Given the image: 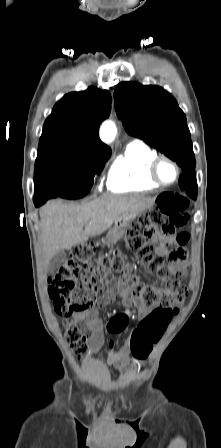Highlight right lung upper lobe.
I'll use <instances>...</instances> for the list:
<instances>
[{
    "mask_svg": "<svg viewBox=\"0 0 221 448\" xmlns=\"http://www.w3.org/2000/svg\"><path fill=\"white\" fill-rule=\"evenodd\" d=\"M111 109L106 90L89 87L65 95L46 119L38 149L71 147L91 154L111 153L99 139V125Z\"/></svg>",
    "mask_w": 221,
    "mask_h": 448,
    "instance_id": "right-lung-upper-lobe-1",
    "label": "right lung upper lobe"
}]
</instances>
